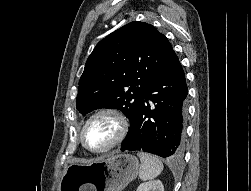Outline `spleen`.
Segmentation results:
<instances>
[{"label": "spleen", "instance_id": "1", "mask_svg": "<svg viewBox=\"0 0 251 191\" xmlns=\"http://www.w3.org/2000/svg\"><path fill=\"white\" fill-rule=\"evenodd\" d=\"M137 155L140 157L141 165L139 169V177L146 181V179H153L161 173L164 165L156 155H150L145 151H138Z\"/></svg>", "mask_w": 251, "mask_h": 191}]
</instances>
